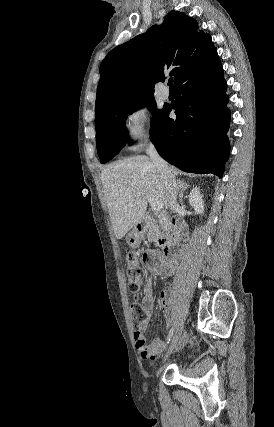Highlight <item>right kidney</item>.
Returning a JSON list of instances; mask_svg holds the SVG:
<instances>
[{
    "label": "right kidney",
    "instance_id": "right-kidney-1",
    "mask_svg": "<svg viewBox=\"0 0 274 427\" xmlns=\"http://www.w3.org/2000/svg\"><path fill=\"white\" fill-rule=\"evenodd\" d=\"M203 196L199 192V188H194L189 196V204L193 206L197 214H204V202L202 200Z\"/></svg>",
    "mask_w": 274,
    "mask_h": 427
}]
</instances>
